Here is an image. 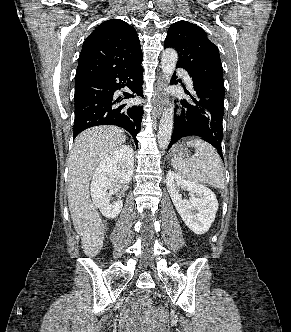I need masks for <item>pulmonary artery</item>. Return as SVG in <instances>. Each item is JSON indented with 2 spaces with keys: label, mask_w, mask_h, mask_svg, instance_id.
<instances>
[{
  "label": "pulmonary artery",
  "mask_w": 291,
  "mask_h": 332,
  "mask_svg": "<svg viewBox=\"0 0 291 332\" xmlns=\"http://www.w3.org/2000/svg\"><path fill=\"white\" fill-rule=\"evenodd\" d=\"M178 72L183 76L185 82L191 88L192 87V79H191V77L184 70L179 69Z\"/></svg>",
  "instance_id": "1"
}]
</instances>
